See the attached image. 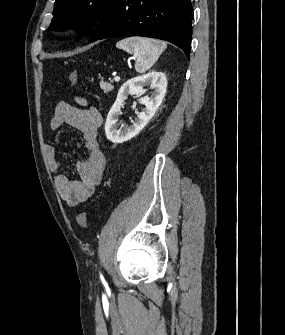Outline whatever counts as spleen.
<instances>
[{"label":"spleen","mask_w":285,"mask_h":335,"mask_svg":"<svg viewBox=\"0 0 285 335\" xmlns=\"http://www.w3.org/2000/svg\"><path fill=\"white\" fill-rule=\"evenodd\" d=\"M116 48L125 50L128 54H135V70L139 74H144V72H147L149 68L154 66L167 46L164 42L153 40V38L133 36V38H125V40L117 42Z\"/></svg>","instance_id":"obj_1"}]
</instances>
